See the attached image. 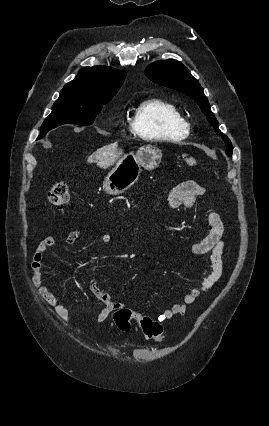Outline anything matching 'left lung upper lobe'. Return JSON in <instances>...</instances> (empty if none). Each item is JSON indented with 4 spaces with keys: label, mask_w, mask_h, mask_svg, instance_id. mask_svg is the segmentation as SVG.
Instances as JSON below:
<instances>
[{
    "label": "left lung upper lobe",
    "mask_w": 269,
    "mask_h": 426,
    "mask_svg": "<svg viewBox=\"0 0 269 426\" xmlns=\"http://www.w3.org/2000/svg\"><path fill=\"white\" fill-rule=\"evenodd\" d=\"M145 75L153 82L178 90L194 99L213 125L216 133L220 134L226 143V154L232 155L231 141L219 130V124L210 109V104L199 82L190 74L189 70L179 61L169 59L157 61L145 69Z\"/></svg>",
    "instance_id": "5c2ea615"
}]
</instances>
